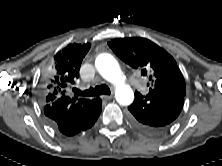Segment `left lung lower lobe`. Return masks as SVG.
<instances>
[{"label":"left lung lower lobe","instance_id":"obj_1","mask_svg":"<svg viewBox=\"0 0 222 166\" xmlns=\"http://www.w3.org/2000/svg\"><path fill=\"white\" fill-rule=\"evenodd\" d=\"M184 96L177 93L160 92L143 96L135 92V100L128 107L132 125L146 133H160L167 129L180 114Z\"/></svg>","mask_w":222,"mask_h":166}]
</instances>
